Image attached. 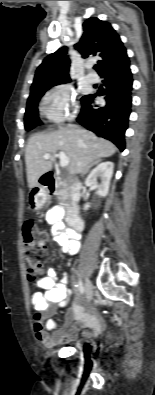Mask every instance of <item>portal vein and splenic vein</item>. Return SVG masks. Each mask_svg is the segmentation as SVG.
<instances>
[{"label": "portal vein and splenic vein", "instance_id": "18ae733b", "mask_svg": "<svg viewBox=\"0 0 155 395\" xmlns=\"http://www.w3.org/2000/svg\"><path fill=\"white\" fill-rule=\"evenodd\" d=\"M57 156L60 159V166L61 167H65L69 164V157L66 156V154L64 152H59V154H57ZM51 157V155L49 153L44 154L43 158L44 159H49Z\"/></svg>", "mask_w": 155, "mask_h": 395}]
</instances>
